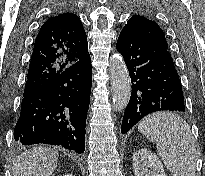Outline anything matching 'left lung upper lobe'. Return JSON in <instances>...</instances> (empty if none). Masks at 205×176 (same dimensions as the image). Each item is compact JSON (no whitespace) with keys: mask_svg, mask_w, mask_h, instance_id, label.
I'll return each instance as SVG.
<instances>
[{"mask_svg":"<svg viewBox=\"0 0 205 176\" xmlns=\"http://www.w3.org/2000/svg\"><path fill=\"white\" fill-rule=\"evenodd\" d=\"M124 28L132 30L135 34L146 41L168 49L163 30L152 20L143 16L135 15L129 19Z\"/></svg>","mask_w":205,"mask_h":176,"instance_id":"left-lung-upper-lobe-1","label":"left lung upper lobe"}]
</instances>
